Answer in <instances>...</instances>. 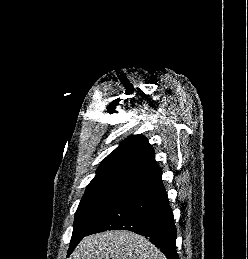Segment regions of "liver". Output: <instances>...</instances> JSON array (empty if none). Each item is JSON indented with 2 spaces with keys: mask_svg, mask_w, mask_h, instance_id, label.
Instances as JSON below:
<instances>
[{
  "mask_svg": "<svg viewBox=\"0 0 248 259\" xmlns=\"http://www.w3.org/2000/svg\"><path fill=\"white\" fill-rule=\"evenodd\" d=\"M73 259H166L149 240L126 230H112L84 237Z\"/></svg>",
  "mask_w": 248,
  "mask_h": 259,
  "instance_id": "obj_1",
  "label": "liver"
}]
</instances>
